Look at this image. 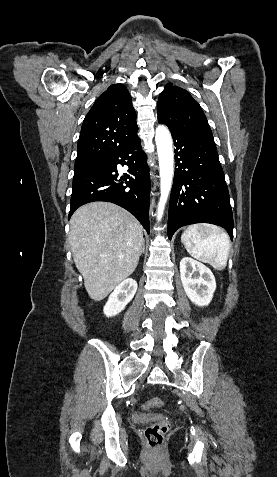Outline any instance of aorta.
Wrapping results in <instances>:
<instances>
[{
  "mask_svg": "<svg viewBox=\"0 0 277 477\" xmlns=\"http://www.w3.org/2000/svg\"><path fill=\"white\" fill-rule=\"evenodd\" d=\"M155 141L158 152L160 168V200L157 209V219L161 220L168 195L171 190L174 173V155L172 149V139L168 128L159 125L156 128Z\"/></svg>",
  "mask_w": 277,
  "mask_h": 477,
  "instance_id": "762f6f07",
  "label": "aorta"
}]
</instances>
